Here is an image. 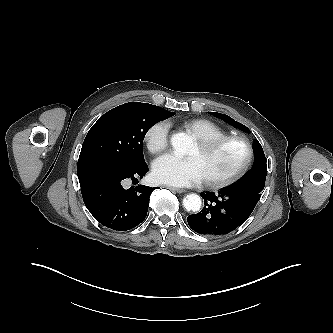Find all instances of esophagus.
I'll list each match as a JSON object with an SVG mask.
<instances>
[{
	"label": "esophagus",
	"mask_w": 333,
	"mask_h": 333,
	"mask_svg": "<svg viewBox=\"0 0 333 333\" xmlns=\"http://www.w3.org/2000/svg\"><path fill=\"white\" fill-rule=\"evenodd\" d=\"M166 188H168V189H170V190H172V191H175V192H177V193H183V192H185L184 189L175 188V187H172V186H166Z\"/></svg>",
	"instance_id": "obj_1"
}]
</instances>
